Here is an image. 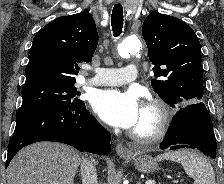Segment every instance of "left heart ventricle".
Returning <instances> with one entry per match:
<instances>
[{
	"label": "left heart ventricle",
	"mask_w": 224,
	"mask_h": 184,
	"mask_svg": "<svg viewBox=\"0 0 224 184\" xmlns=\"http://www.w3.org/2000/svg\"><path fill=\"white\" fill-rule=\"evenodd\" d=\"M156 120V116L150 110H147L142 107V112L140 119L133 130L141 133V134H148L152 131L154 123Z\"/></svg>",
	"instance_id": "obj_1"
}]
</instances>
